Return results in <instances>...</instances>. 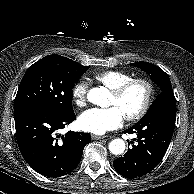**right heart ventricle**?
Listing matches in <instances>:
<instances>
[{"label": "right heart ventricle", "mask_w": 194, "mask_h": 194, "mask_svg": "<svg viewBox=\"0 0 194 194\" xmlns=\"http://www.w3.org/2000/svg\"><path fill=\"white\" fill-rule=\"evenodd\" d=\"M94 78L106 88L112 90L122 83L132 79L133 75L124 71L107 70L96 73Z\"/></svg>", "instance_id": "right-heart-ventricle-1"}]
</instances>
